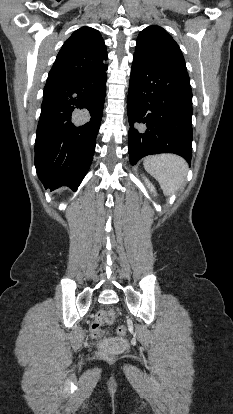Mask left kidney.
Returning a JSON list of instances; mask_svg holds the SVG:
<instances>
[{
    "mask_svg": "<svg viewBox=\"0 0 233 414\" xmlns=\"http://www.w3.org/2000/svg\"><path fill=\"white\" fill-rule=\"evenodd\" d=\"M144 180H145L148 188L150 189V191L153 192L154 194H156L154 186L148 181V179L144 178Z\"/></svg>",
    "mask_w": 233,
    "mask_h": 414,
    "instance_id": "5707ae66",
    "label": "left kidney"
}]
</instances>
